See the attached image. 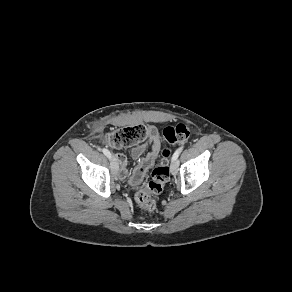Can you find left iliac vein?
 Here are the masks:
<instances>
[{"instance_id": "obj_1", "label": "left iliac vein", "mask_w": 292, "mask_h": 292, "mask_svg": "<svg viewBox=\"0 0 292 292\" xmlns=\"http://www.w3.org/2000/svg\"><path fill=\"white\" fill-rule=\"evenodd\" d=\"M170 170L173 175L178 173V162L176 160L171 161Z\"/></svg>"}]
</instances>
